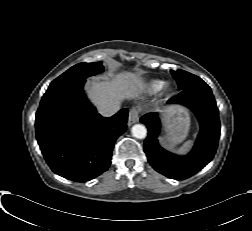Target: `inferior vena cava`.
<instances>
[{
    "label": "inferior vena cava",
    "mask_w": 252,
    "mask_h": 231,
    "mask_svg": "<svg viewBox=\"0 0 252 231\" xmlns=\"http://www.w3.org/2000/svg\"><path fill=\"white\" fill-rule=\"evenodd\" d=\"M120 110V103L118 101L105 104L99 107V113L105 117H110Z\"/></svg>",
    "instance_id": "obj_1"
}]
</instances>
